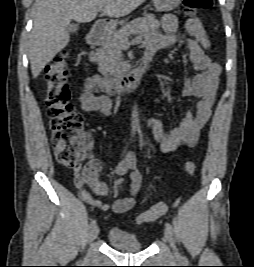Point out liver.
Returning <instances> with one entry per match:
<instances>
[{
  "label": "liver",
  "mask_w": 254,
  "mask_h": 267,
  "mask_svg": "<svg viewBox=\"0 0 254 267\" xmlns=\"http://www.w3.org/2000/svg\"><path fill=\"white\" fill-rule=\"evenodd\" d=\"M146 0H36L28 54L31 72L37 78L44 67L70 41L68 26L72 20L91 22L102 7L101 16L119 18L134 11Z\"/></svg>",
  "instance_id": "6515ba94"
}]
</instances>
